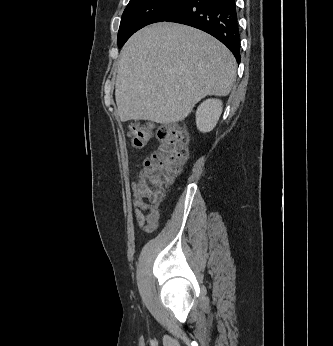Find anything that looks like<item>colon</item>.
Here are the masks:
<instances>
[{"instance_id":"1","label":"colon","mask_w":333,"mask_h":346,"mask_svg":"<svg viewBox=\"0 0 333 346\" xmlns=\"http://www.w3.org/2000/svg\"><path fill=\"white\" fill-rule=\"evenodd\" d=\"M152 127L134 123L130 137L134 147L142 148L149 141ZM157 150L144 161L138 182V192L149 204L162 201L165 188L179 174L187 159L186 136L175 126H167L159 132Z\"/></svg>"}]
</instances>
